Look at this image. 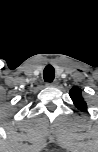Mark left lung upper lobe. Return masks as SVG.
Wrapping results in <instances>:
<instances>
[{
	"mask_svg": "<svg viewBox=\"0 0 98 152\" xmlns=\"http://www.w3.org/2000/svg\"><path fill=\"white\" fill-rule=\"evenodd\" d=\"M70 97L74 103V105L81 111H86L87 110V104L84 101V98L82 97L81 94V89L78 87H73L70 90Z\"/></svg>",
	"mask_w": 98,
	"mask_h": 152,
	"instance_id": "left-lung-upper-lobe-1",
	"label": "left lung upper lobe"
}]
</instances>
